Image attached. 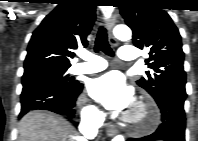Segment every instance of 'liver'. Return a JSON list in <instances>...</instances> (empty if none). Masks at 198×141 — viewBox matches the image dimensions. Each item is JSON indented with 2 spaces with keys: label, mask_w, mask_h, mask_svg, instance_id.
<instances>
[{
  "label": "liver",
  "mask_w": 198,
  "mask_h": 141,
  "mask_svg": "<svg viewBox=\"0 0 198 141\" xmlns=\"http://www.w3.org/2000/svg\"><path fill=\"white\" fill-rule=\"evenodd\" d=\"M18 133V141H75L76 139V131L68 121L43 110L27 113L19 122Z\"/></svg>",
  "instance_id": "liver-1"
}]
</instances>
